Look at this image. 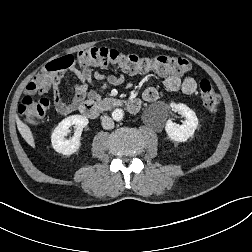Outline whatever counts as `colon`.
<instances>
[{"label": "colon", "mask_w": 252, "mask_h": 252, "mask_svg": "<svg viewBox=\"0 0 252 252\" xmlns=\"http://www.w3.org/2000/svg\"><path fill=\"white\" fill-rule=\"evenodd\" d=\"M107 67L116 66L126 72H147L154 70L160 74H186L190 71V63L182 58L169 55L142 57L137 54H125L116 49L93 47L80 51L76 59L66 55L45 65L26 87V94L20 101L18 113L27 123L41 120L50 107L46 97L35 99L34 95L46 92L62 73L73 66ZM199 94L206 109L215 113L220 103V96L207 79L199 82Z\"/></svg>", "instance_id": "5ec220e1"}]
</instances>
